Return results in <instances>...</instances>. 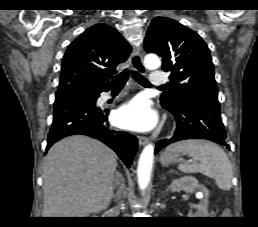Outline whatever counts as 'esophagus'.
I'll return each mask as SVG.
<instances>
[{
	"label": "esophagus",
	"mask_w": 258,
	"mask_h": 227,
	"mask_svg": "<svg viewBox=\"0 0 258 227\" xmlns=\"http://www.w3.org/2000/svg\"><path fill=\"white\" fill-rule=\"evenodd\" d=\"M131 63L136 71H138L141 74L146 73V68L143 65L142 61V55L140 53L139 49H134L131 55ZM149 139L145 136H139L138 142L141 146L147 144Z\"/></svg>",
	"instance_id": "obj_1"
}]
</instances>
